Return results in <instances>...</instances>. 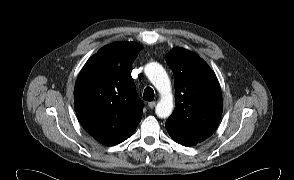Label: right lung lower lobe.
Wrapping results in <instances>:
<instances>
[{
	"mask_svg": "<svg viewBox=\"0 0 294 180\" xmlns=\"http://www.w3.org/2000/svg\"><path fill=\"white\" fill-rule=\"evenodd\" d=\"M138 126V125H137ZM136 126V127H137ZM136 127L135 128H133L132 130H130L129 132H127L120 140H118L115 144H118V143H121V142H123L124 140H126L127 138H129L132 134H133V132L135 131V129H136Z\"/></svg>",
	"mask_w": 294,
	"mask_h": 180,
	"instance_id": "obj_1",
	"label": "right lung lower lobe"
}]
</instances>
